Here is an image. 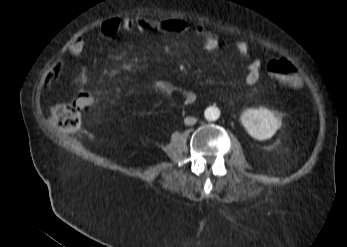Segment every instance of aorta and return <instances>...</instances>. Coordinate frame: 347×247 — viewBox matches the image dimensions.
<instances>
[{
  "mask_svg": "<svg viewBox=\"0 0 347 247\" xmlns=\"http://www.w3.org/2000/svg\"><path fill=\"white\" fill-rule=\"evenodd\" d=\"M220 113L219 110L214 109V108H208L205 111V118L209 121H215L219 118Z\"/></svg>",
  "mask_w": 347,
  "mask_h": 247,
  "instance_id": "1",
  "label": "aorta"
}]
</instances>
